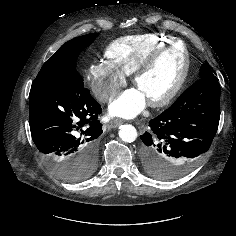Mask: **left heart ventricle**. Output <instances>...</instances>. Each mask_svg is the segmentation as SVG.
I'll return each mask as SVG.
<instances>
[{
  "mask_svg": "<svg viewBox=\"0 0 236 236\" xmlns=\"http://www.w3.org/2000/svg\"><path fill=\"white\" fill-rule=\"evenodd\" d=\"M183 68L182 46L177 45L164 53L152 68L138 80L136 87L146 99L164 95L177 81Z\"/></svg>",
  "mask_w": 236,
  "mask_h": 236,
  "instance_id": "b2bd125f",
  "label": "left heart ventricle"
}]
</instances>
